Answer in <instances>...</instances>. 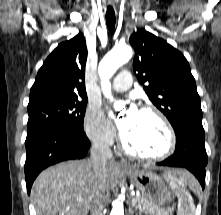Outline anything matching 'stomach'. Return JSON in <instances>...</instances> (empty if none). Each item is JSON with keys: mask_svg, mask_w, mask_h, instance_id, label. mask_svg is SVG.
<instances>
[{"mask_svg": "<svg viewBox=\"0 0 221 215\" xmlns=\"http://www.w3.org/2000/svg\"><path fill=\"white\" fill-rule=\"evenodd\" d=\"M125 173L142 196L158 207L173 201L174 194L170 186L154 172L133 168Z\"/></svg>", "mask_w": 221, "mask_h": 215, "instance_id": "obj_1", "label": "stomach"}]
</instances>
